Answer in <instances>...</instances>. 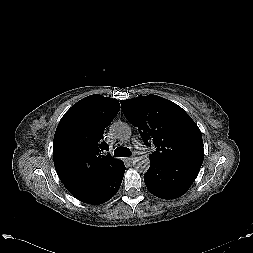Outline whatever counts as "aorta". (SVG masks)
I'll return each mask as SVG.
<instances>
[{"instance_id": "aorta-1", "label": "aorta", "mask_w": 253, "mask_h": 253, "mask_svg": "<svg viewBox=\"0 0 253 253\" xmlns=\"http://www.w3.org/2000/svg\"><path fill=\"white\" fill-rule=\"evenodd\" d=\"M111 130L114 136L122 141L128 140L132 135L131 127L126 123L122 122L115 123L111 127ZM134 165L136 169L139 170L140 172H146L150 167V160L147 155H142L135 158Z\"/></svg>"}]
</instances>
